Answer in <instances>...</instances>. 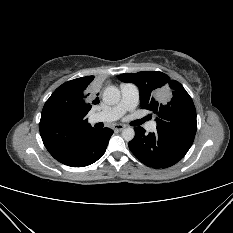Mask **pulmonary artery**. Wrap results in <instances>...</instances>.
I'll return each instance as SVG.
<instances>
[{"label":"pulmonary artery","instance_id":"e3ab8cb5","mask_svg":"<svg viewBox=\"0 0 233 233\" xmlns=\"http://www.w3.org/2000/svg\"><path fill=\"white\" fill-rule=\"evenodd\" d=\"M121 99L113 107L94 114L91 117L92 122H113L122 117L126 112L133 111L139 102V90L137 86L131 83H125L120 86ZM149 131H155L156 122L152 121L147 125Z\"/></svg>","mask_w":233,"mask_h":233}]
</instances>
